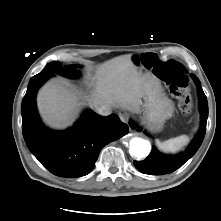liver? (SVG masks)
I'll return each mask as SVG.
<instances>
[{"instance_id": "obj_1", "label": "liver", "mask_w": 221, "mask_h": 221, "mask_svg": "<svg viewBox=\"0 0 221 221\" xmlns=\"http://www.w3.org/2000/svg\"><path fill=\"white\" fill-rule=\"evenodd\" d=\"M152 79L138 72L131 55L114 58L98 67L96 88L88 102L95 109L116 106L138 112ZM37 105L43 120L60 129L73 123L82 103L62 82L51 81L40 90Z\"/></svg>"}]
</instances>
